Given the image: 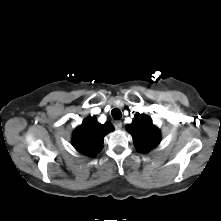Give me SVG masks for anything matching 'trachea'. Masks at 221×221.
Here are the masks:
<instances>
[{"label": "trachea", "instance_id": "obj_1", "mask_svg": "<svg viewBox=\"0 0 221 221\" xmlns=\"http://www.w3.org/2000/svg\"><path fill=\"white\" fill-rule=\"evenodd\" d=\"M111 115H112L114 120H119L122 117V113L119 109H113L111 111Z\"/></svg>", "mask_w": 221, "mask_h": 221}]
</instances>
